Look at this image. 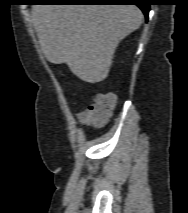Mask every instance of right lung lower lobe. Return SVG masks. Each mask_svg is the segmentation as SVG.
<instances>
[{"mask_svg":"<svg viewBox=\"0 0 188 213\" xmlns=\"http://www.w3.org/2000/svg\"><path fill=\"white\" fill-rule=\"evenodd\" d=\"M148 0H45L36 3H66V4H135L148 18L150 4Z\"/></svg>","mask_w":188,"mask_h":213,"instance_id":"obj_1","label":"right lung lower lobe"}]
</instances>
